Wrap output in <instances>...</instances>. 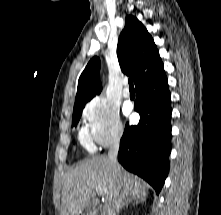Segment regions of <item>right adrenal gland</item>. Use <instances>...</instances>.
Wrapping results in <instances>:
<instances>
[{"label":"right adrenal gland","mask_w":221,"mask_h":215,"mask_svg":"<svg viewBox=\"0 0 221 215\" xmlns=\"http://www.w3.org/2000/svg\"><path fill=\"white\" fill-rule=\"evenodd\" d=\"M141 201H144V200L141 199ZM139 202H140L139 199L129 198L122 204L120 209L124 208V206H128L129 204H138Z\"/></svg>","instance_id":"right-adrenal-gland-1"}]
</instances>
